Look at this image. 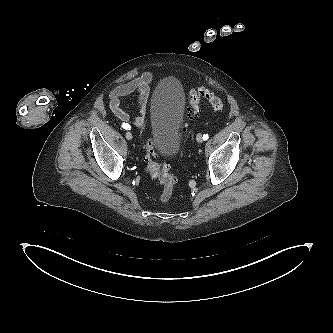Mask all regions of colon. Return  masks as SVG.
<instances>
[{"label": "colon", "mask_w": 333, "mask_h": 333, "mask_svg": "<svg viewBox=\"0 0 333 333\" xmlns=\"http://www.w3.org/2000/svg\"><path fill=\"white\" fill-rule=\"evenodd\" d=\"M203 102H207L215 111H221L224 108L223 100L216 94L210 92L203 87H195L191 89L189 94L188 111L190 116H197L200 106ZM146 171L149 176L158 181L162 186L159 198L162 202L168 201L173 192V188L177 182L176 178L170 173L169 163H159L156 160V144L149 140L146 144Z\"/></svg>", "instance_id": "obj_1"}]
</instances>
